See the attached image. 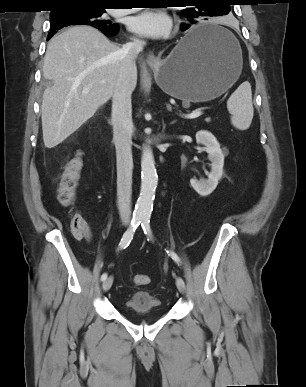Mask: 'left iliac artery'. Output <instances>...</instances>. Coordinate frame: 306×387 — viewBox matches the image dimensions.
Returning <instances> with one entry per match:
<instances>
[{"instance_id": "left-iliac-artery-1", "label": "left iliac artery", "mask_w": 306, "mask_h": 387, "mask_svg": "<svg viewBox=\"0 0 306 387\" xmlns=\"http://www.w3.org/2000/svg\"><path fill=\"white\" fill-rule=\"evenodd\" d=\"M141 226H142L144 233L148 236V238L152 239V231H151V227H150V220L148 217L142 218ZM167 253L176 263L180 262V259L175 252L167 251Z\"/></svg>"}]
</instances>
